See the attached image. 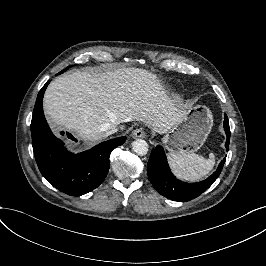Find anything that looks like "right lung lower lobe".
I'll return each instance as SVG.
<instances>
[{
    "label": "right lung lower lobe",
    "mask_w": 266,
    "mask_h": 266,
    "mask_svg": "<svg viewBox=\"0 0 266 266\" xmlns=\"http://www.w3.org/2000/svg\"><path fill=\"white\" fill-rule=\"evenodd\" d=\"M50 81L40 90L34 106L31 134L38 168L55 188L71 196H80L97 188L105 179L111 151L126 137L102 142L92 149L73 154L51 132L43 113L42 100Z\"/></svg>",
    "instance_id": "98d812e1"
}]
</instances>
